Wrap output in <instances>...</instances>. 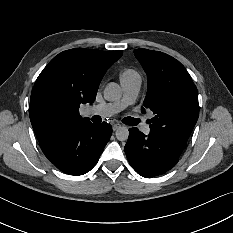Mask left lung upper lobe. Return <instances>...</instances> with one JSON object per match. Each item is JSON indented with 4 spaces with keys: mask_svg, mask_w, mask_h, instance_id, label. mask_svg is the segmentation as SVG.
<instances>
[{
    "mask_svg": "<svg viewBox=\"0 0 233 233\" xmlns=\"http://www.w3.org/2000/svg\"><path fill=\"white\" fill-rule=\"evenodd\" d=\"M134 53L148 76L143 105L155 114L150 133L187 142L199 116L197 88L190 74L165 53L147 49Z\"/></svg>",
    "mask_w": 233,
    "mask_h": 233,
    "instance_id": "obj_1",
    "label": "left lung upper lobe"
}]
</instances>
